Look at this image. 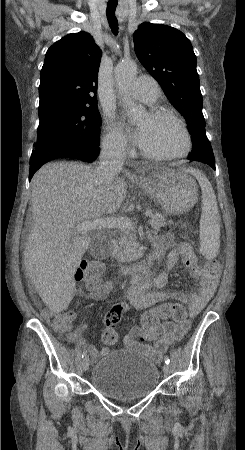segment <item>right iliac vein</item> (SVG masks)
<instances>
[{"instance_id": "right-iliac-vein-1", "label": "right iliac vein", "mask_w": 245, "mask_h": 450, "mask_svg": "<svg viewBox=\"0 0 245 450\" xmlns=\"http://www.w3.org/2000/svg\"><path fill=\"white\" fill-rule=\"evenodd\" d=\"M90 361L87 357L82 360L81 366L83 371H87L89 368Z\"/></svg>"}]
</instances>
